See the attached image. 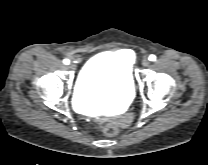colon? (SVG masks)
I'll return each instance as SVG.
<instances>
[{
    "mask_svg": "<svg viewBox=\"0 0 208 165\" xmlns=\"http://www.w3.org/2000/svg\"><path fill=\"white\" fill-rule=\"evenodd\" d=\"M100 128L107 136H115L119 133L117 125L106 120L100 122Z\"/></svg>",
    "mask_w": 208,
    "mask_h": 165,
    "instance_id": "colon-1",
    "label": "colon"
}]
</instances>
